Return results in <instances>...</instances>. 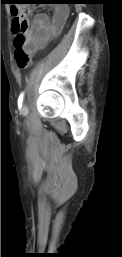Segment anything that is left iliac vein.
Here are the masks:
<instances>
[{
    "label": "left iliac vein",
    "mask_w": 122,
    "mask_h": 257,
    "mask_svg": "<svg viewBox=\"0 0 122 257\" xmlns=\"http://www.w3.org/2000/svg\"><path fill=\"white\" fill-rule=\"evenodd\" d=\"M22 113H23V114H27V113H28V107H27L26 105H24V106L22 107Z\"/></svg>",
    "instance_id": "obj_1"
}]
</instances>
